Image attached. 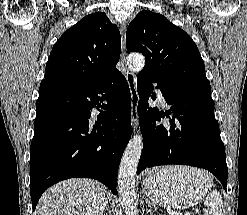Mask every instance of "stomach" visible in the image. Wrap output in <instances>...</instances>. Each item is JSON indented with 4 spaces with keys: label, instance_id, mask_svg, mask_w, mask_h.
<instances>
[{
    "label": "stomach",
    "instance_id": "obj_1",
    "mask_svg": "<svg viewBox=\"0 0 247 215\" xmlns=\"http://www.w3.org/2000/svg\"><path fill=\"white\" fill-rule=\"evenodd\" d=\"M143 185L153 202L166 208L185 209L197 204L212 183L201 170L169 166L150 171Z\"/></svg>",
    "mask_w": 247,
    "mask_h": 215
}]
</instances>
